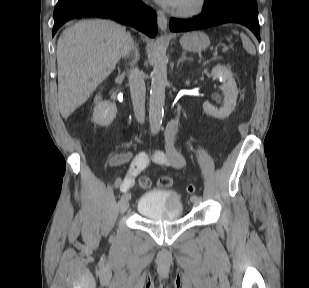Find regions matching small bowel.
<instances>
[{
	"instance_id": "obj_1",
	"label": "small bowel",
	"mask_w": 309,
	"mask_h": 288,
	"mask_svg": "<svg viewBox=\"0 0 309 288\" xmlns=\"http://www.w3.org/2000/svg\"><path fill=\"white\" fill-rule=\"evenodd\" d=\"M178 132V118L173 117L167 124L165 131V148L163 150H156L152 153L151 159L162 166L173 169H182L185 166V159L183 155L175 148L174 139ZM150 157L141 152L132 158L130 152H121L112 158V164L119 166L131 161V166L125 177L119 182V187L122 191H130L135 186V179L137 175L145 169Z\"/></svg>"
}]
</instances>
